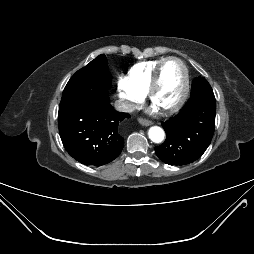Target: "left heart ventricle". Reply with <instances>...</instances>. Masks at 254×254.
Listing matches in <instances>:
<instances>
[{
    "label": "left heart ventricle",
    "instance_id": "obj_1",
    "mask_svg": "<svg viewBox=\"0 0 254 254\" xmlns=\"http://www.w3.org/2000/svg\"><path fill=\"white\" fill-rule=\"evenodd\" d=\"M183 69L176 61L167 62L161 72L160 85L154 95L153 105L164 109L174 104L181 94Z\"/></svg>",
    "mask_w": 254,
    "mask_h": 254
}]
</instances>
